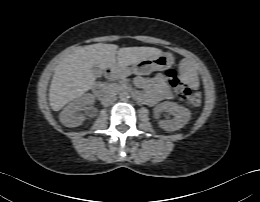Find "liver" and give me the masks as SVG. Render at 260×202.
Here are the masks:
<instances>
[{
  "mask_svg": "<svg viewBox=\"0 0 260 202\" xmlns=\"http://www.w3.org/2000/svg\"><path fill=\"white\" fill-rule=\"evenodd\" d=\"M97 43L81 47L57 65L49 90L52 110L59 111L70 101L80 97L95 84L93 65L101 70L114 65L128 67L162 53L154 47H123Z\"/></svg>",
  "mask_w": 260,
  "mask_h": 202,
  "instance_id": "obj_1",
  "label": "liver"
}]
</instances>
